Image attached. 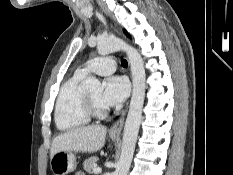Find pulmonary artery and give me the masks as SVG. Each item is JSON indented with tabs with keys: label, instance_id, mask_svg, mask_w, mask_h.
<instances>
[{
	"label": "pulmonary artery",
	"instance_id": "e3ab8cb5",
	"mask_svg": "<svg viewBox=\"0 0 233 175\" xmlns=\"http://www.w3.org/2000/svg\"><path fill=\"white\" fill-rule=\"evenodd\" d=\"M115 68L116 62L114 59L110 57H100L87 62L77 73L83 76L90 73L105 76L111 74Z\"/></svg>",
	"mask_w": 233,
	"mask_h": 175
}]
</instances>
